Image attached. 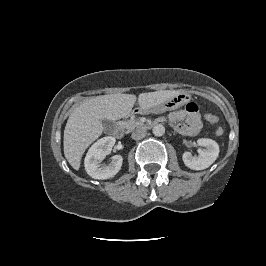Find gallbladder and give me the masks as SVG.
I'll list each match as a JSON object with an SVG mask.
<instances>
[{
    "label": "gallbladder",
    "mask_w": 266,
    "mask_h": 266,
    "mask_svg": "<svg viewBox=\"0 0 266 266\" xmlns=\"http://www.w3.org/2000/svg\"><path fill=\"white\" fill-rule=\"evenodd\" d=\"M102 124L106 131H112L115 128L114 122L107 120V119L102 120Z\"/></svg>",
    "instance_id": "gallbladder-1"
}]
</instances>
